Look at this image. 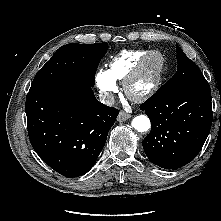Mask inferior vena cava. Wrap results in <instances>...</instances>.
Returning <instances> with one entry per match:
<instances>
[{
  "instance_id": "obj_1",
  "label": "inferior vena cava",
  "mask_w": 221,
  "mask_h": 221,
  "mask_svg": "<svg viewBox=\"0 0 221 221\" xmlns=\"http://www.w3.org/2000/svg\"><path fill=\"white\" fill-rule=\"evenodd\" d=\"M100 100L107 106H113L115 104V98L112 93L104 92L100 94Z\"/></svg>"
}]
</instances>
